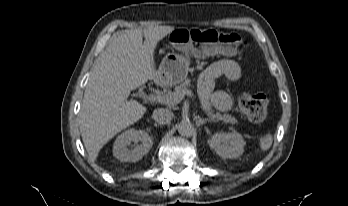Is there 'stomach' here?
Instances as JSON below:
<instances>
[{"label": "stomach", "instance_id": "1", "mask_svg": "<svg viewBox=\"0 0 348 206\" xmlns=\"http://www.w3.org/2000/svg\"><path fill=\"white\" fill-rule=\"evenodd\" d=\"M203 40H184L179 44L180 50L178 53L169 52L163 58L159 69V80L164 84H178L182 82L188 74L189 65L192 56H201V53H196V46L202 47Z\"/></svg>", "mask_w": 348, "mask_h": 206}]
</instances>
